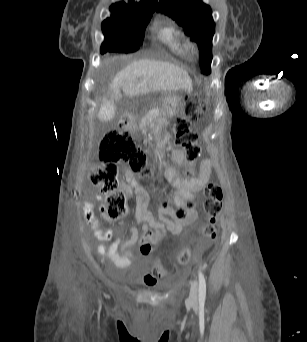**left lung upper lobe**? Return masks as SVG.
Masks as SVG:
<instances>
[{
	"instance_id": "obj_1",
	"label": "left lung upper lobe",
	"mask_w": 307,
	"mask_h": 342,
	"mask_svg": "<svg viewBox=\"0 0 307 342\" xmlns=\"http://www.w3.org/2000/svg\"><path fill=\"white\" fill-rule=\"evenodd\" d=\"M157 11L172 17L192 36L200 50L201 70L208 74L212 61V38L215 33L211 8L201 0H160Z\"/></svg>"
}]
</instances>
